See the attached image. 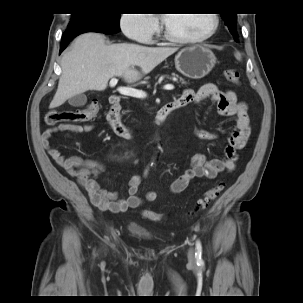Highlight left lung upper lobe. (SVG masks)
Segmentation results:
<instances>
[{"label": "left lung upper lobe", "instance_id": "obj_1", "mask_svg": "<svg viewBox=\"0 0 303 303\" xmlns=\"http://www.w3.org/2000/svg\"><path fill=\"white\" fill-rule=\"evenodd\" d=\"M236 15L237 14H226V13L221 14L226 25L228 26L230 32L232 33V35L234 37L237 36L236 30H235V28H236L235 24H236V18H237Z\"/></svg>", "mask_w": 303, "mask_h": 303}]
</instances>
